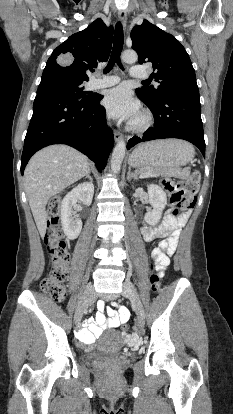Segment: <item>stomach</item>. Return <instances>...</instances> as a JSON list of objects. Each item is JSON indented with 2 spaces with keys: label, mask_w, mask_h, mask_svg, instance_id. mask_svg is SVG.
I'll return each mask as SVG.
<instances>
[{
  "label": "stomach",
  "mask_w": 233,
  "mask_h": 414,
  "mask_svg": "<svg viewBox=\"0 0 233 414\" xmlns=\"http://www.w3.org/2000/svg\"><path fill=\"white\" fill-rule=\"evenodd\" d=\"M194 158V148L189 143L176 140H158L139 145L129 156L132 167L171 171L188 164Z\"/></svg>",
  "instance_id": "obj_1"
}]
</instances>
